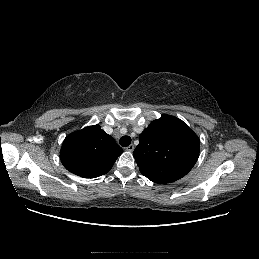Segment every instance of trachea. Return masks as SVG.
<instances>
[{
	"label": "trachea",
	"instance_id": "obj_1",
	"mask_svg": "<svg viewBox=\"0 0 259 259\" xmlns=\"http://www.w3.org/2000/svg\"><path fill=\"white\" fill-rule=\"evenodd\" d=\"M119 143L122 147H127L131 143V137L130 136H122L119 140Z\"/></svg>",
	"mask_w": 259,
	"mask_h": 259
}]
</instances>
